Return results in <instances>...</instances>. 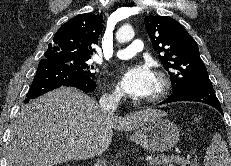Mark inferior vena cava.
Returning <instances> with one entry per match:
<instances>
[{
    "label": "inferior vena cava",
    "instance_id": "602c4592",
    "mask_svg": "<svg viewBox=\"0 0 231 166\" xmlns=\"http://www.w3.org/2000/svg\"><path fill=\"white\" fill-rule=\"evenodd\" d=\"M120 99H121V95L120 93L117 92L111 95H104L99 101L101 110L109 114H113L117 109ZM94 166H107L106 160L98 159V161L94 164Z\"/></svg>",
    "mask_w": 231,
    "mask_h": 166
}]
</instances>
